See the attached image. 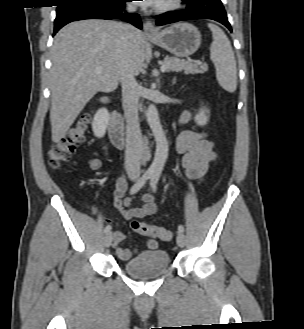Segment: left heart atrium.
I'll use <instances>...</instances> for the list:
<instances>
[{
  "mask_svg": "<svg viewBox=\"0 0 304 329\" xmlns=\"http://www.w3.org/2000/svg\"><path fill=\"white\" fill-rule=\"evenodd\" d=\"M141 2L144 6L154 7L157 6L161 0H143Z\"/></svg>",
  "mask_w": 304,
  "mask_h": 329,
  "instance_id": "39dd6f15",
  "label": "left heart atrium"
}]
</instances>
